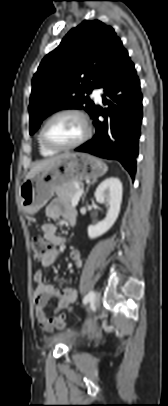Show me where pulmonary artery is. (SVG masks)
Instances as JSON below:
<instances>
[{
    "mask_svg": "<svg viewBox=\"0 0 168 406\" xmlns=\"http://www.w3.org/2000/svg\"><path fill=\"white\" fill-rule=\"evenodd\" d=\"M92 96L95 98L97 102H101V92L99 89H94L92 92Z\"/></svg>",
    "mask_w": 168,
    "mask_h": 406,
    "instance_id": "e3ab8cb5",
    "label": "pulmonary artery"
}]
</instances>
